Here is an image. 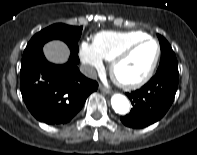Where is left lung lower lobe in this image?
<instances>
[{"instance_id": "0a47b994", "label": "left lung lower lobe", "mask_w": 197, "mask_h": 155, "mask_svg": "<svg viewBox=\"0 0 197 155\" xmlns=\"http://www.w3.org/2000/svg\"><path fill=\"white\" fill-rule=\"evenodd\" d=\"M178 80L177 71H161L141 89L127 93L133 108L121 121L131 128H143L160 120L174 100Z\"/></svg>"}]
</instances>
